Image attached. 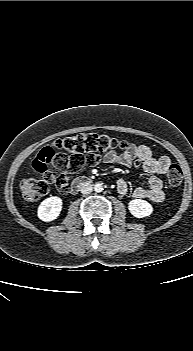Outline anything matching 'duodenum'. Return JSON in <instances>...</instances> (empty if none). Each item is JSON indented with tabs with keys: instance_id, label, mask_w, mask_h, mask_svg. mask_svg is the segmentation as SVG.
Masks as SVG:
<instances>
[{
	"instance_id": "1",
	"label": "duodenum",
	"mask_w": 193,
	"mask_h": 351,
	"mask_svg": "<svg viewBox=\"0 0 193 351\" xmlns=\"http://www.w3.org/2000/svg\"><path fill=\"white\" fill-rule=\"evenodd\" d=\"M89 183V178L81 176L77 177L70 186V193L77 192L82 186H85Z\"/></svg>"
}]
</instances>
